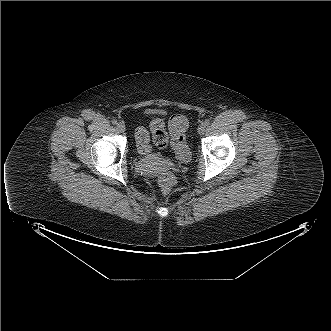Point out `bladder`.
<instances>
[{"instance_id": "31cf9c89", "label": "bladder", "mask_w": 331, "mask_h": 331, "mask_svg": "<svg viewBox=\"0 0 331 331\" xmlns=\"http://www.w3.org/2000/svg\"><path fill=\"white\" fill-rule=\"evenodd\" d=\"M147 158L150 159V160H156V159H158V155L150 154V155L147 156Z\"/></svg>"}]
</instances>
